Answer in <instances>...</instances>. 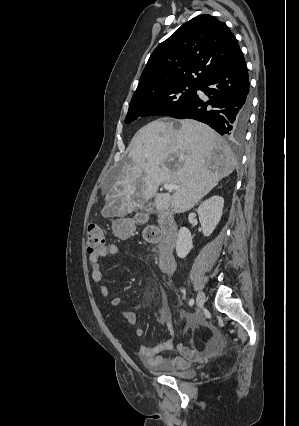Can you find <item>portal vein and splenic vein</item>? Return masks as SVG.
<instances>
[{
  "mask_svg": "<svg viewBox=\"0 0 299 426\" xmlns=\"http://www.w3.org/2000/svg\"><path fill=\"white\" fill-rule=\"evenodd\" d=\"M163 187H164V189H165V190H167V191H173V190H176V189H178V188H179V186L174 185V184H169V183H165V184L163 185Z\"/></svg>",
  "mask_w": 299,
  "mask_h": 426,
  "instance_id": "portal-vein-and-splenic-vein-1",
  "label": "portal vein and splenic vein"
}]
</instances>
